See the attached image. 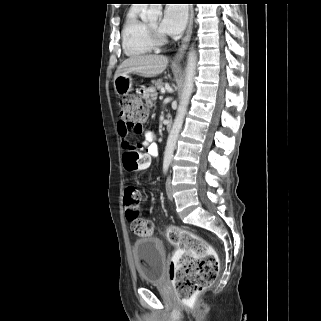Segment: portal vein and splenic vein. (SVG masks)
<instances>
[{
	"label": "portal vein and splenic vein",
	"mask_w": 321,
	"mask_h": 321,
	"mask_svg": "<svg viewBox=\"0 0 321 321\" xmlns=\"http://www.w3.org/2000/svg\"><path fill=\"white\" fill-rule=\"evenodd\" d=\"M161 93H165V89L164 88H161Z\"/></svg>",
	"instance_id": "portal-vein-and-splenic-vein-1"
}]
</instances>
